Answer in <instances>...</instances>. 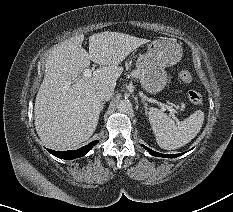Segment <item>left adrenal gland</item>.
<instances>
[{"label": "left adrenal gland", "mask_w": 233, "mask_h": 212, "mask_svg": "<svg viewBox=\"0 0 233 212\" xmlns=\"http://www.w3.org/2000/svg\"><path fill=\"white\" fill-rule=\"evenodd\" d=\"M142 103L144 104L145 113L147 114V110H148L147 103H146V101L144 99H142Z\"/></svg>", "instance_id": "1"}]
</instances>
